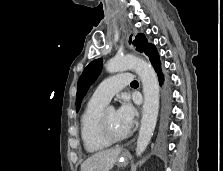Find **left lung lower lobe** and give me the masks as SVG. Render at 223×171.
Listing matches in <instances>:
<instances>
[{
	"label": "left lung lower lobe",
	"mask_w": 223,
	"mask_h": 171,
	"mask_svg": "<svg viewBox=\"0 0 223 171\" xmlns=\"http://www.w3.org/2000/svg\"><path fill=\"white\" fill-rule=\"evenodd\" d=\"M147 57L152 63L154 69L156 70L159 78L160 85L163 86V100H164V108H163V123H162V135H164L167 131V123L168 118L170 116V108H171V87L170 81L167 76H165L161 71V62L159 59V55L157 49L154 45H151L146 52Z\"/></svg>",
	"instance_id": "0a47b994"
}]
</instances>
